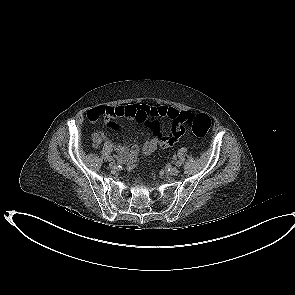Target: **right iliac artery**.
Segmentation results:
<instances>
[{
    "mask_svg": "<svg viewBox=\"0 0 295 295\" xmlns=\"http://www.w3.org/2000/svg\"><path fill=\"white\" fill-rule=\"evenodd\" d=\"M109 161H112V162H113V161H114V159H113L112 157H110V158H109Z\"/></svg>",
    "mask_w": 295,
    "mask_h": 295,
    "instance_id": "right-iliac-artery-1",
    "label": "right iliac artery"
}]
</instances>
